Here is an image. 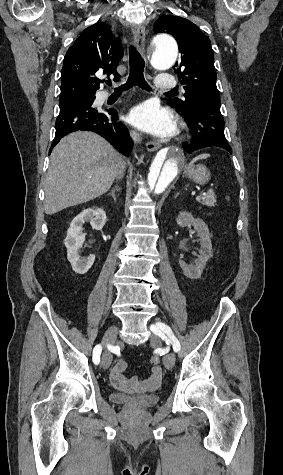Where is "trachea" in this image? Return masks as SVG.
<instances>
[{
    "instance_id": "obj_1",
    "label": "trachea",
    "mask_w": 283,
    "mask_h": 475,
    "mask_svg": "<svg viewBox=\"0 0 283 475\" xmlns=\"http://www.w3.org/2000/svg\"><path fill=\"white\" fill-rule=\"evenodd\" d=\"M129 77L127 82L124 85H121L118 88H115V92H122L124 90H128L132 88L133 86H137L142 88L143 90L150 91L152 90L151 87L147 84L145 78H144V67H145V62L140 55V53L136 50L134 46L130 47V52H129ZM108 85L111 84V81L109 80ZM174 90H170L169 93H173Z\"/></svg>"
}]
</instances>
